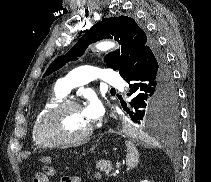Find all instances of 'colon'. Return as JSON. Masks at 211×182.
I'll use <instances>...</instances> for the list:
<instances>
[{"mask_svg":"<svg viewBox=\"0 0 211 182\" xmlns=\"http://www.w3.org/2000/svg\"><path fill=\"white\" fill-rule=\"evenodd\" d=\"M54 176V169L51 166H44L43 173L36 174L33 182H46L48 178Z\"/></svg>","mask_w":211,"mask_h":182,"instance_id":"1","label":"colon"}]
</instances>
